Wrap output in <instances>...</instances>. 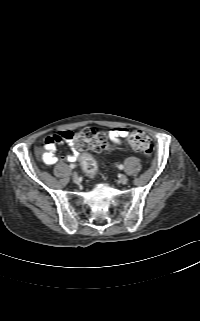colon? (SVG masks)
Returning a JSON list of instances; mask_svg holds the SVG:
<instances>
[{
	"instance_id": "obj_1",
	"label": "colon",
	"mask_w": 200,
	"mask_h": 321,
	"mask_svg": "<svg viewBox=\"0 0 200 321\" xmlns=\"http://www.w3.org/2000/svg\"><path fill=\"white\" fill-rule=\"evenodd\" d=\"M80 150H92L102 152L109 148L105 134L95 127H85L70 134ZM129 145L142 155L149 156L153 150V143L144 132L134 131L128 138ZM81 166L84 172L93 176L97 172V163L90 155H85L81 159Z\"/></svg>"
}]
</instances>
